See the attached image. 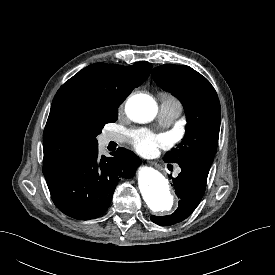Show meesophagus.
<instances>
[{"instance_id": "1", "label": "esophagus", "mask_w": 275, "mask_h": 275, "mask_svg": "<svg viewBox=\"0 0 275 275\" xmlns=\"http://www.w3.org/2000/svg\"><path fill=\"white\" fill-rule=\"evenodd\" d=\"M151 165H156V163L155 162H151Z\"/></svg>"}]
</instances>
